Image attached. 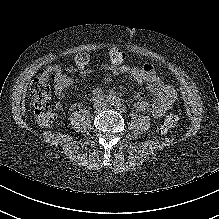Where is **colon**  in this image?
I'll return each instance as SVG.
<instances>
[{
	"label": "colon",
	"mask_w": 219,
	"mask_h": 219,
	"mask_svg": "<svg viewBox=\"0 0 219 219\" xmlns=\"http://www.w3.org/2000/svg\"><path fill=\"white\" fill-rule=\"evenodd\" d=\"M80 63H87L88 56L80 54L76 57ZM55 79V74L51 71H45L40 74L30 85V96L35 119L39 125L49 126L53 123L55 113L50 105V84ZM176 122L174 115H169L160 125V132L167 133Z\"/></svg>",
	"instance_id": "colon-1"
}]
</instances>
